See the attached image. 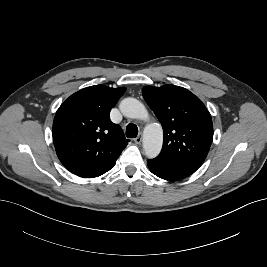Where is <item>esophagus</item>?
<instances>
[{
    "instance_id": "34e87169",
    "label": "esophagus",
    "mask_w": 267,
    "mask_h": 267,
    "mask_svg": "<svg viewBox=\"0 0 267 267\" xmlns=\"http://www.w3.org/2000/svg\"><path fill=\"white\" fill-rule=\"evenodd\" d=\"M134 142L136 143V144H140L141 142H142V137L139 135V136H137L135 139H134Z\"/></svg>"
}]
</instances>
